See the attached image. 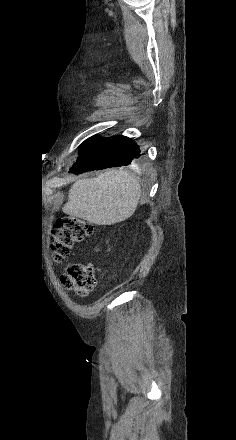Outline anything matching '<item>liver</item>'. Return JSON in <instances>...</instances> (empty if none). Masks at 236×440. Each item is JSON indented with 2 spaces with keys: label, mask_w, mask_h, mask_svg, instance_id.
I'll return each instance as SVG.
<instances>
[{
  "label": "liver",
  "mask_w": 236,
  "mask_h": 440,
  "mask_svg": "<svg viewBox=\"0 0 236 440\" xmlns=\"http://www.w3.org/2000/svg\"><path fill=\"white\" fill-rule=\"evenodd\" d=\"M140 196V185L134 175L123 169H110L96 178L77 180L62 210L90 223L113 225L134 214Z\"/></svg>",
  "instance_id": "liver-1"
}]
</instances>
